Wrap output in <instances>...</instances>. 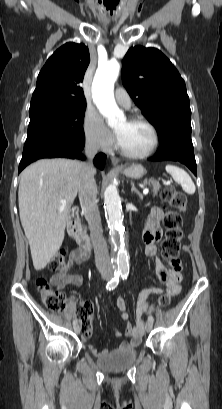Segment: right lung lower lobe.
I'll use <instances>...</instances> for the list:
<instances>
[{
	"instance_id": "obj_1",
	"label": "right lung lower lobe",
	"mask_w": 222,
	"mask_h": 409,
	"mask_svg": "<svg viewBox=\"0 0 222 409\" xmlns=\"http://www.w3.org/2000/svg\"><path fill=\"white\" fill-rule=\"evenodd\" d=\"M84 148V144L74 148L71 151L66 152H36L27 156H23L19 164V172H21L30 163L41 158H53V157H67V158H79L84 160L85 157L81 154V150ZM106 156L100 153L95 156L94 164L103 169L105 166Z\"/></svg>"
}]
</instances>
